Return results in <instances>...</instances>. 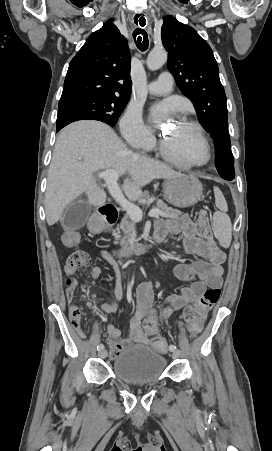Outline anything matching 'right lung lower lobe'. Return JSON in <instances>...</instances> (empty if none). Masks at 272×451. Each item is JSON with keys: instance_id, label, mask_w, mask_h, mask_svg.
<instances>
[{"instance_id": "right-lung-lower-lobe-1", "label": "right lung lower lobe", "mask_w": 272, "mask_h": 451, "mask_svg": "<svg viewBox=\"0 0 272 451\" xmlns=\"http://www.w3.org/2000/svg\"><path fill=\"white\" fill-rule=\"evenodd\" d=\"M61 128H57V132L60 130Z\"/></svg>"}]
</instances>
